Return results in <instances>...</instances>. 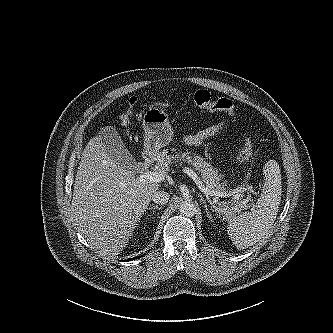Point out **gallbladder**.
I'll return each instance as SVG.
<instances>
[{
  "label": "gallbladder",
  "instance_id": "bac80fb5",
  "mask_svg": "<svg viewBox=\"0 0 333 333\" xmlns=\"http://www.w3.org/2000/svg\"><path fill=\"white\" fill-rule=\"evenodd\" d=\"M98 136L101 137L105 152L113 161L131 172L136 171L138 164L123 144L115 128L104 127L99 131Z\"/></svg>",
  "mask_w": 333,
  "mask_h": 333
}]
</instances>
